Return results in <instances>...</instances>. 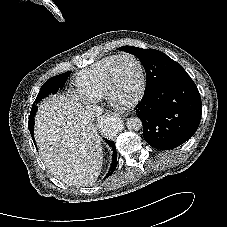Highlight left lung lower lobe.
<instances>
[{"mask_svg":"<svg viewBox=\"0 0 227 227\" xmlns=\"http://www.w3.org/2000/svg\"><path fill=\"white\" fill-rule=\"evenodd\" d=\"M143 137L160 150L176 148L196 132L201 118V97L187 73L170 77L146 90L135 108Z\"/></svg>","mask_w":227,"mask_h":227,"instance_id":"left-lung-lower-lobe-1","label":"left lung lower lobe"}]
</instances>
